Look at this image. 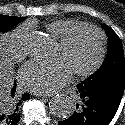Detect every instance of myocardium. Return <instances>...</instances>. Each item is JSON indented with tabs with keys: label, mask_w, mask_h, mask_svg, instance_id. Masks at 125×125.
<instances>
[{
	"label": "myocardium",
	"mask_w": 125,
	"mask_h": 125,
	"mask_svg": "<svg viewBox=\"0 0 125 125\" xmlns=\"http://www.w3.org/2000/svg\"><path fill=\"white\" fill-rule=\"evenodd\" d=\"M82 30H91L95 32L99 37V51L96 59L91 65L85 69L75 70L73 73L78 77H87L95 73L103 64L106 53H107V37L105 32L96 25L90 23H81L72 29H70L61 39H59L58 45L61 49H67L77 34Z\"/></svg>",
	"instance_id": "f54148a6"
}]
</instances>
